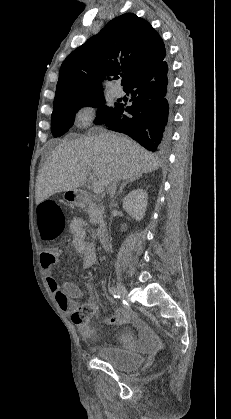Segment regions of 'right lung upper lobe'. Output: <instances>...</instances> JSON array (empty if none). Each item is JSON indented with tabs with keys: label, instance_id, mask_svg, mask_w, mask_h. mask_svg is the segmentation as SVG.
Masks as SVG:
<instances>
[{
	"label": "right lung upper lobe",
	"instance_id": "1",
	"mask_svg": "<svg viewBox=\"0 0 231 419\" xmlns=\"http://www.w3.org/2000/svg\"><path fill=\"white\" fill-rule=\"evenodd\" d=\"M165 55L162 38L149 22L133 13L116 17L64 60L54 103L102 92V79L110 76L124 74L126 87Z\"/></svg>",
	"mask_w": 231,
	"mask_h": 419
}]
</instances>
